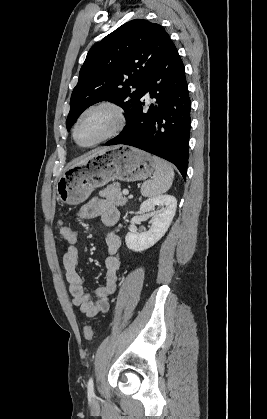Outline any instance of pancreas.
Listing matches in <instances>:
<instances>
[{"instance_id": "obj_1", "label": "pancreas", "mask_w": 267, "mask_h": 419, "mask_svg": "<svg viewBox=\"0 0 267 419\" xmlns=\"http://www.w3.org/2000/svg\"><path fill=\"white\" fill-rule=\"evenodd\" d=\"M99 196L106 198L116 206H124L127 198L122 194L120 184L115 182L99 192Z\"/></svg>"}]
</instances>
